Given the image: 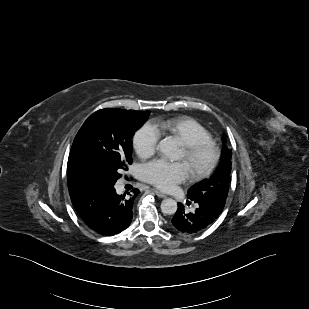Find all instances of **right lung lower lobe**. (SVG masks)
<instances>
[{"label": "right lung lower lobe", "mask_w": 309, "mask_h": 309, "mask_svg": "<svg viewBox=\"0 0 309 309\" xmlns=\"http://www.w3.org/2000/svg\"><path fill=\"white\" fill-rule=\"evenodd\" d=\"M68 188L78 215L97 233L111 236L130 225L134 199L140 193L138 189L128 195H118L114 185L75 173L68 174Z\"/></svg>", "instance_id": "right-lung-lower-lobe-1"}]
</instances>
